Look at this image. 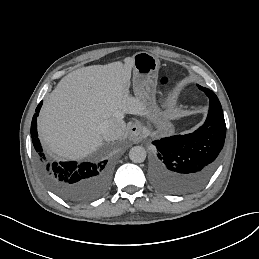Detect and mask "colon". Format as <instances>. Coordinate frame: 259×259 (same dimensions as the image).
<instances>
[{"label": "colon", "mask_w": 259, "mask_h": 259, "mask_svg": "<svg viewBox=\"0 0 259 259\" xmlns=\"http://www.w3.org/2000/svg\"><path fill=\"white\" fill-rule=\"evenodd\" d=\"M168 83H169V79H168V78H162V79H161V84H162L163 86H167Z\"/></svg>", "instance_id": "5ec220e1"}]
</instances>
